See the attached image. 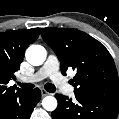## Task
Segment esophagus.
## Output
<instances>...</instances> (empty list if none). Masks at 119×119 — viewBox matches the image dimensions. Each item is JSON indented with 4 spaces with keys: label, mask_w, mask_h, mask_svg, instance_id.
I'll return each mask as SVG.
<instances>
[{
    "label": "esophagus",
    "mask_w": 119,
    "mask_h": 119,
    "mask_svg": "<svg viewBox=\"0 0 119 119\" xmlns=\"http://www.w3.org/2000/svg\"><path fill=\"white\" fill-rule=\"evenodd\" d=\"M41 94H42V96L44 97V96L49 95L50 93H49V92H47V91H46V90H44V89H41Z\"/></svg>",
    "instance_id": "1"
}]
</instances>
